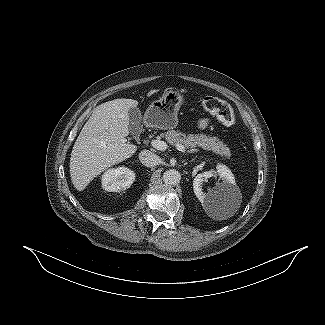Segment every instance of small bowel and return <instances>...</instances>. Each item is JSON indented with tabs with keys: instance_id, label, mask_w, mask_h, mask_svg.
I'll return each mask as SVG.
<instances>
[{
	"instance_id": "obj_1",
	"label": "small bowel",
	"mask_w": 325,
	"mask_h": 325,
	"mask_svg": "<svg viewBox=\"0 0 325 325\" xmlns=\"http://www.w3.org/2000/svg\"><path fill=\"white\" fill-rule=\"evenodd\" d=\"M209 125V119L207 118H202L198 122V127L200 129H205Z\"/></svg>"
}]
</instances>
